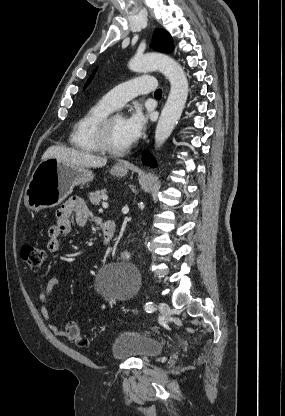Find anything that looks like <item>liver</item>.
<instances>
[{
	"label": "liver",
	"mask_w": 285,
	"mask_h": 416,
	"mask_svg": "<svg viewBox=\"0 0 285 416\" xmlns=\"http://www.w3.org/2000/svg\"><path fill=\"white\" fill-rule=\"evenodd\" d=\"M50 158H57L67 164H75L81 168H103L107 164V158H100V156H93L90 152L85 150H74V148H62V146H51L44 152L41 160H50Z\"/></svg>",
	"instance_id": "liver-1"
}]
</instances>
